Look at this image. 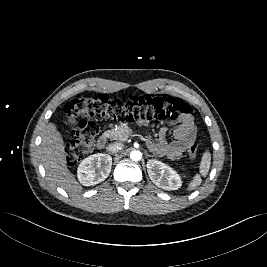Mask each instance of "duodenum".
<instances>
[{
	"label": "duodenum",
	"mask_w": 267,
	"mask_h": 267,
	"mask_svg": "<svg viewBox=\"0 0 267 267\" xmlns=\"http://www.w3.org/2000/svg\"><path fill=\"white\" fill-rule=\"evenodd\" d=\"M107 141H108V138L105 135L101 136L97 141V147L99 149H103L106 146Z\"/></svg>",
	"instance_id": "410a0bca"
}]
</instances>
